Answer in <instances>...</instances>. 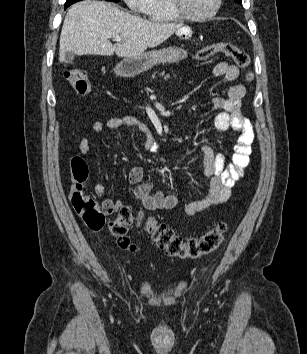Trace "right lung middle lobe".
<instances>
[{
  "mask_svg": "<svg viewBox=\"0 0 307 354\" xmlns=\"http://www.w3.org/2000/svg\"><path fill=\"white\" fill-rule=\"evenodd\" d=\"M77 1H80V0H67L66 3H65V9L70 6L71 4L77 2ZM106 1H113V2H118L120 0H106Z\"/></svg>",
  "mask_w": 307,
  "mask_h": 354,
  "instance_id": "1",
  "label": "right lung middle lobe"
}]
</instances>
